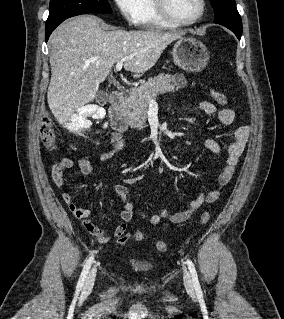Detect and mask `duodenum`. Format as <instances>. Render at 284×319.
Segmentation results:
<instances>
[{"label":"duodenum","mask_w":284,"mask_h":319,"mask_svg":"<svg viewBox=\"0 0 284 319\" xmlns=\"http://www.w3.org/2000/svg\"><path fill=\"white\" fill-rule=\"evenodd\" d=\"M124 101L125 97L121 92L115 91L110 95L109 120L116 132H125L128 129V123L122 113Z\"/></svg>","instance_id":"410a0bca"}]
</instances>
